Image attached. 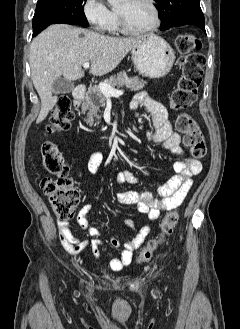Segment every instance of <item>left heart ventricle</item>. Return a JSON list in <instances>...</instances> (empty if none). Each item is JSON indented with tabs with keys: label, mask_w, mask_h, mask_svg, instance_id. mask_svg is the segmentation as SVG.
Returning a JSON list of instances; mask_svg holds the SVG:
<instances>
[{
	"label": "left heart ventricle",
	"mask_w": 240,
	"mask_h": 329,
	"mask_svg": "<svg viewBox=\"0 0 240 329\" xmlns=\"http://www.w3.org/2000/svg\"><path fill=\"white\" fill-rule=\"evenodd\" d=\"M117 9L132 29H144L154 21L153 10L146 0H121Z\"/></svg>",
	"instance_id": "b2bd125f"
}]
</instances>
